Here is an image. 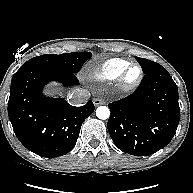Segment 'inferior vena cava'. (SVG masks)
Wrapping results in <instances>:
<instances>
[{
    "instance_id": "1",
    "label": "inferior vena cava",
    "mask_w": 193,
    "mask_h": 193,
    "mask_svg": "<svg viewBox=\"0 0 193 193\" xmlns=\"http://www.w3.org/2000/svg\"><path fill=\"white\" fill-rule=\"evenodd\" d=\"M90 98L89 91L85 89H75L69 96V103L72 105H82Z\"/></svg>"
}]
</instances>
